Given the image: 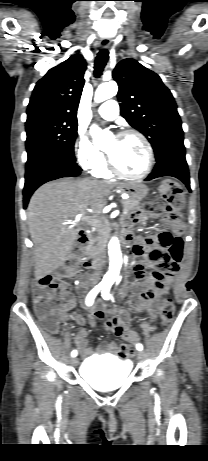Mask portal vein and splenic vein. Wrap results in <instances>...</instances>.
Segmentation results:
<instances>
[{
	"instance_id": "1",
	"label": "portal vein and splenic vein",
	"mask_w": 208,
	"mask_h": 461,
	"mask_svg": "<svg viewBox=\"0 0 208 461\" xmlns=\"http://www.w3.org/2000/svg\"><path fill=\"white\" fill-rule=\"evenodd\" d=\"M123 213H124V214H127L128 211H127L126 209H123ZM79 216L82 217L81 214H79ZM83 221L86 222V223L89 224V225H95V226H96V225L99 224L98 219H95V218H92V217H84V218H83ZM64 224H65V223H64Z\"/></svg>"
}]
</instances>
